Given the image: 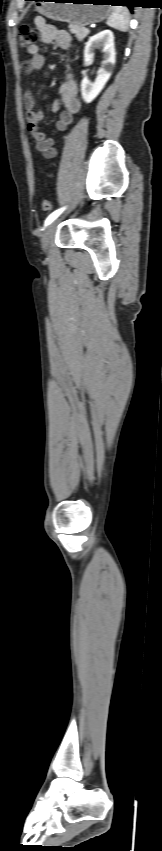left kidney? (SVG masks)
I'll list each match as a JSON object with an SVG mask.
<instances>
[{
    "label": "left kidney",
    "instance_id": "obj_1",
    "mask_svg": "<svg viewBox=\"0 0 162 851\" xmlns=\"http://www.w3.org/2000/svg\"><path fill=\"white\" fill-rule=\"evenodd\" d=\"M96 48L103 50V60L94 82L89 81L87 77L81 81V95L86 103L92 102L99 95L114 69L116 52L112 31L104 30L89 38L84 49L85 65L93 59Z\"/></svg>",
    "mask_w": 162,
    "mask_h": 851
}]
</instances>
